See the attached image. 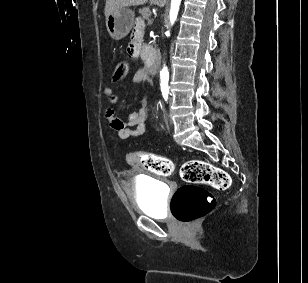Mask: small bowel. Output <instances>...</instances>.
Masks as SVG:
<instances>
[{"label": "small bowel", "instance_id": "c3829d8e", "mask_svg": "<svg viewBox=\"0 0 308 283\" xmlns=\"http://www.w3.org/2000/svg\"><path fill=\"white\" fill-rule=\"evenodd\" d=\"M144 30V22L141 19L136 20L130 41L127 45V53L133 58L142 56ZM147 79L148 71L144 68L138 70L134 75L135 82H141ZM103 93L110 104L106 110V119L108 120L110 127L121 139L138 137L148 132V111L146 108L141 107L136 111L126 114L124 118L119 117L115 108L117 104V95L115 94L113 87H104Z\"/></svg>", "mask_w": 308, "mask_h": 283}]
</instances>
